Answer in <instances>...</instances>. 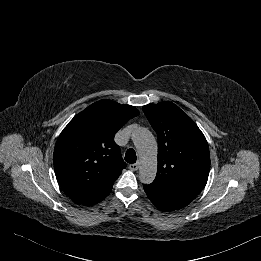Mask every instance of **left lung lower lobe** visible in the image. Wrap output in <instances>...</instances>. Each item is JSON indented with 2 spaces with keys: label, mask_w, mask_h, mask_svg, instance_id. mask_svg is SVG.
Masks as SVG:
<instances>
[{
  "label": "left lung lower lobe",
  "mask_w": 261,
  "mask_h": 261,
  "mask_svg": "<svg viewBox=\"0 0 261 261\" xmlns=\"http://www.w3.org/2000/svg\"><path fill=\"white\" fill-rule=\"evenodd\" d=\"M144 190L152 203L163 211L181 209L197 196L183 190L162 187L153 183L144 185Z\"/></svg>",
  "instance_id": "1"
}]
</instances>
